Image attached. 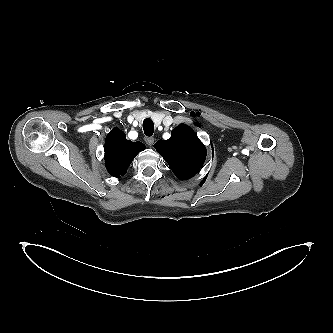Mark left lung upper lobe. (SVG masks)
Listing matches in <instances>:
<instances>
[{
	"label": "left lung upper lobe",
	"instance_id": "obj_1",
	"mask_svg": "<svg viewBox=\"0 0 333 333\" xmlns=\"http://www.w3.org/2000/svg\"><path fill=\"white\" fill-rule=\"evenodd\" d=\"M154 147L181 180L193 177L203 166L206 158L204 145L195 132L184 124L171 132L170 139L159 140Z\"/></svg>",
	"mask_w": 333,
	"mask_h": 333
}]
</instances>
